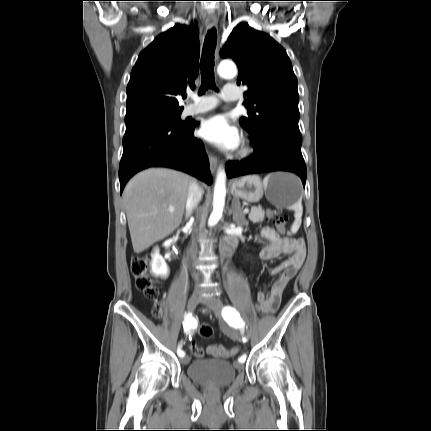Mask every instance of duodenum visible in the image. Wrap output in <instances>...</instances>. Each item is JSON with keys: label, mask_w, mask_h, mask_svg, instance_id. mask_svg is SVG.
Returning <instances> with one entry per match:
<instances>
[{"label": "duodenum", "mask_w": 431, "mask_h": 431, "mask_svg": "<svg viewBox=\"0 0 431 431\" xmlns=\"http://www.w3.org/2000/svg\"><path fill=\"white\" fill-rule=\"evenodd\" d=\"M234 246H235L234 240H226L223 246V252L229 253Z\"/></svg>", "instance_id": "410a0bca"}]
</instances>
